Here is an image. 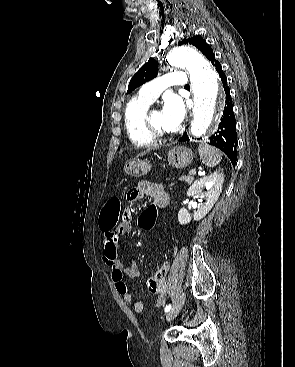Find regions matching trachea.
Wrapping results in <instances>:
<instances>
[{"label":"trachea","instance_id":"trachea-1","mask_svg":"<svg viewBox=\"0 0 295 367\" xmlns=\"http://www.w3.org/2000/svg\"><path fill=\"white\" fill-rule=\"evenodd\" d=\"M185 87H186V88H189L190 86H189V85H186Z\"/></svg>","mask_w":295,"mask_h":367}]
</instances>
